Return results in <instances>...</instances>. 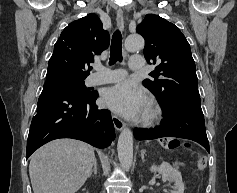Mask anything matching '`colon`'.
<instances>
[{
    "label": "colon",
    "mask_w": 237,
    "mask_h": 193,
    "mask_svg": "<svg viewBox=\"0 0 237 193\" xmlns=\"http://www.w3.org/2000/svg\"><path fill=\"white\" fill-rule=\"evenodd\" d=\"M164 145L168 148H176L180 146V142L177 139H167ZM207 167V158L205 156H199L197 160V168L199 171L205 170Z\"/></svg>",
    "instance_id": "5ec220e1"
}]
</instances>
